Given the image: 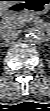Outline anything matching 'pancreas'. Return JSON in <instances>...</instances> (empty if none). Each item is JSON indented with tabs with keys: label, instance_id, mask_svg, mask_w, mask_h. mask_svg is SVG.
<instances>
[{
	"label": "pancreas",
	"instance_id": "cf45deb5",
	"mask_svg": "<svg viewBox=\"0 0 50 111\" xmlns=\"http://www.w3.org/2000/svg\"><path fill=\"white\" fill-rule=\"evenodd\" d=\"M31 20L35 23L37 28L42 31L44 30V22L33 13L7 17L4 19L2 26L4 29H17L23 27L26 22Z\"/></svg>",
	"mask_w": 50,
	"mask_h": 111
}]
</instances>
